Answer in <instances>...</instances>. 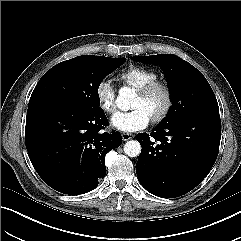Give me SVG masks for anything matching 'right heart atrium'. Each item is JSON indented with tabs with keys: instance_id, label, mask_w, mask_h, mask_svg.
<instances>
[{
	"instance_id": "1",
	"label": "right heart atrium",
	"mask_w": 241,
	"mask_h": 241,
	"mask_svg": "<svg viewBox=\"0 0 241 241\" xmlns=\"http://www.w3.org/2000/svg\"><path fill=\"white\" fill-rule=\"evenodd\" d=\"M95 97L99 107L106 113L112 114L116 110V94L112 82L104 78L95 87Z\"/></svg>"
}]
</instances>
